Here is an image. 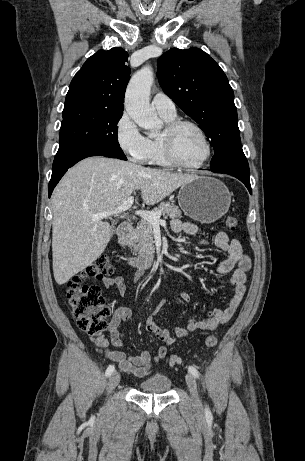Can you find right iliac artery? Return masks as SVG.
<instances>
[{
    "label": "right iliac artery",
    "instance_id": "1",
    "mask_svg": "<svg viewBox=\"0 0 305 461\" xmlns=\"http://www.w3.org/2000/svg\"><path fill=\"white\" fill-rule=\"evenodd\" d=\"M114 371H115V366L109 365L105 372L106 377L110 376Z\"/></svg>",
    "mask_w": 305,
    "mask_h": 461
}]
</instances>
